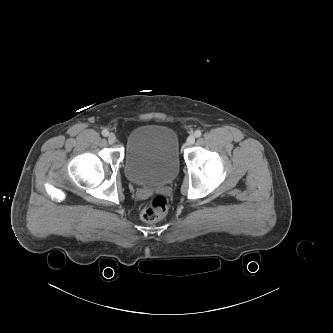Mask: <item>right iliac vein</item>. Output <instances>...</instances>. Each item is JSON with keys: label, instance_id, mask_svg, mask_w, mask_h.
<instances>
[{"label": "right iliac vein", "instance_id": "63e3f726", "mask_svg": "<svg viewBox=\"0 0 333 333\" xmlns=\"http://www.w3.org/2000/svg\"><path fill=\"white\" fill-rule=\"evenodd\" d=\"M116 136L114 135V134H109L108 135V142H109V144H113V143H115L116 142Z\"/></svg>", "mask_w": 333, "mask_h": 333}]
</instances>
